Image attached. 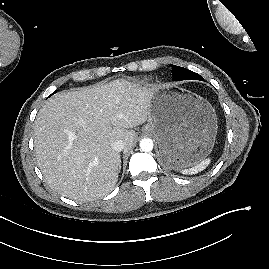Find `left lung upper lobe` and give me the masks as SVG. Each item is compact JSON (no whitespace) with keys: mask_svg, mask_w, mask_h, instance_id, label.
Returning <instances> with one entry per match:
<instances>
[{"mask_svg":"<svg viewBox=\"0 0 269 269\" xmlns=\"http://www.w3.org/2000/svg\"><path fill=\"white\" fill-rule=\"evenodd\" d=\"M173 71H172V76L174 81H180V80H201L203 81V77L200 76L199 74L190 71L186 68L176 66V65H171Z\"/></svg>","mask_w":269,"mask_h":269,"instance_id":"5c2ea615","label":"left lung upper lobe"}]
</instances>
